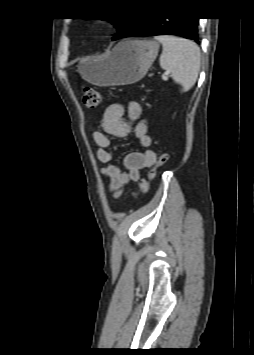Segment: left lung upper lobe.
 Returning <instances> with one entry per match:
<instances>
[{"mask_svg":"<svg viewBox=\"0 0 254 355\" xmlns=\"http://www.w3.org/2000/svg\"><path fill=\"white\" fill-rule=\"evenodd\" d=\"M103 20L111 21L117 28V33L113 37V40L121 38L126 34L134 25L137 18H102Z\"/></svg>","mask_w":254,"mask_h":355,"instance_id":"5c2ea615","label":"left lung upper lobe"}]
</instances>
